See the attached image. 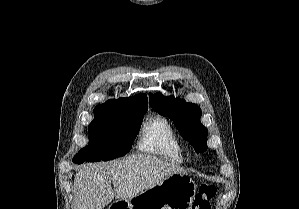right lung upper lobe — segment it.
Instances as JSON below:
<instances>
[{"instance_id":"right-lung-upper-lobe-1","label":"right lung upper lobe","mask_w":299,"mask_h":209,"mask_svg":"<svg viewBox=\"0 0 299 209\" xmlns=\"http://www.w3.org/2000/svg\"><path fill=\"white\" fill-rule=\"evenodd\" d=\"M148 109L147 96L138 94L134 97L111 99L94 109L95 114H136Z\"/></svg>"}]
</instances>
